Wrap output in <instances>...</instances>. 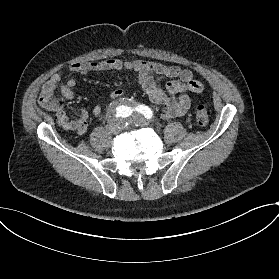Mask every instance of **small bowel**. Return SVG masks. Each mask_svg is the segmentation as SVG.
<instances>
[{"mask_svg": "<svg viewBox=\"0 0 279 279\" xmlns=\"http://www.w3.org/2000/svg\"><path fill=\"white\" fill-rule=\"evenodd\" d=\"M111 70H128L137 73L139 84L147 96L154 103L163 107L162 117L164 119L184 115L191 104L187 92L199 93L203 90L202 82L197 80L189 69L155 61L109 58L100 61L75 63L69 68L71 73L81 75ZM154 74L171 78L166 84L165 91L156 85L153 78ZM75 85L76 80L74 78H66L62 74H55L42 86L38 104L48 111L55 112L58 123L64 129L83 135L88 129V111L82 110L75 118L71 119L64 110V101L75 98V93L72 90ZM56 90H59L60 97L56 96ZM123 92V90H117L112 93V96H121ZM101 113L102 106L99 102H96L92 108V114L99 117Z\"/></svg>", "mask_w": 279, "mask_h": 279, "instance_id": "1", "label": "small bowel"}]
</instances>
